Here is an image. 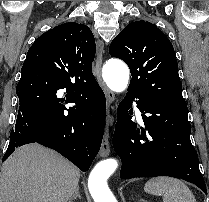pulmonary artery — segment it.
<instances>
[{
	"label": "pulmonary artery",
	"instance_id": "1",
	"mask_svg": "<svg viewBox=\"0 0 209 202\" xmlns=\"http://www.w3.org/2000/svg\"><path fill=\"white\" fill-rule=\"evenodd\" d=\"M134 107H135V110L138 112V108H137V105L136 104L134 105Z\"/></svg>",
	"mask_w": 209,
	"mask_h": 202
}]
</instances>
